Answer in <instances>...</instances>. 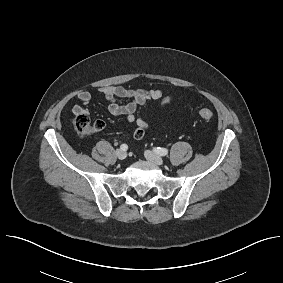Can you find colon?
Masks as SVG:
<instances>
[{
	"mask_svg": "<svg viewBox=\"0 0 283 283\" xmlns=\"http://www.w3.org/2000/svg\"><path fill=\"white\" fill-rule=\"evenodd\" d=\"M198 114L206 121L214 117L213 112L207 108L200 109ZM73 127L78 135L86 137L101 131L104 127V123L102 121H96L92 124L85 114H77L73 119Z\"/></svg>",
	"mask_w": 283,
	"mask_h": 283,
	"instance_id": "5ec220e1",
	"label": "colon"
}]
</instances>
